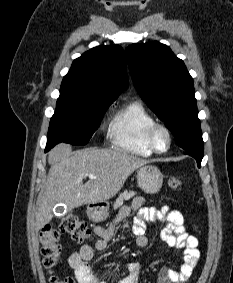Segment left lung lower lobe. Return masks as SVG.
Listing matches in <instances>:
<instances>
[{
    "label": "left lung lower lobe",
    "mask_w": 233,
    "mask_h": 283,
    "mask_svg": "<svg viewBox=\"0 0 233 283\" xmlns=\"http://www.w3.org/2000/svg\"><path fill=\"white\" fill-rule=\"evenodd\" d=\"M185 154L194 157L197 161L198 166L200 167L202 158H203V151L200 150H187Z\"/></svg>",
    "instance_id": "1"
}]
</instances>
